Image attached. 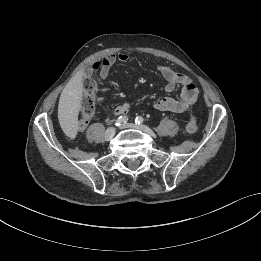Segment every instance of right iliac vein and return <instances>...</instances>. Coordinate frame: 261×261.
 Instances as JSON below:
<instances>
[{"label":"right iliac vein","mask_w":261,"mask_h":261,"mask_svg":"<svg viewBox=\"0 0 261 261\" xmlns=\"http://www.w3.org/2000/svg\"><path fill=\"white\" fill-rule=\"evenodd\" d=\"M115 132L116 130L114 127L108 128L105 132V140L110 141L114 137Z\"/></svg>","instance_id":"63e3f726"}]
</instances>
